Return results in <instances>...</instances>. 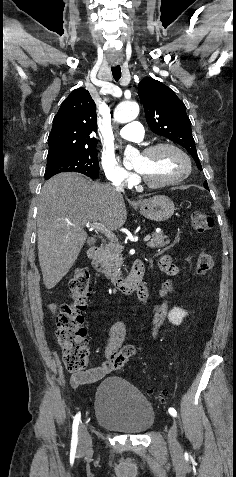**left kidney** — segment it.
I'll list each match as a JSON object with an SVG mask.
<instances>
[{
	"label": "left kidney",
	"instance_id": "5707ae66",
	"mask_svg": "<svg viewBox=\"0 0 236 477\" xmlns=\"http://www.w3.org/2000/svg\"><path fill=\"white\" fill-rule=\"evenodd\" d=\"M187 312L181 308H173L168 315L169 321L174 325H180Z\"/></svg>",
	"mask_w": 236,
	"mask_h": 477
}]
</instances>
